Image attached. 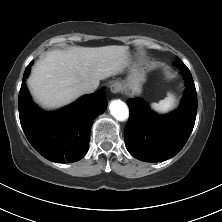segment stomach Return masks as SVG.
Returning a JSON list of instances; mask_svg holds the SVG:
<instances>
[{
    "instance_id": "obj_1",
    "label": "stomach",
    "mask_w": 222,
    "mask_h": 222,
    "mask_svg": "<svg viewBox=\"0 0 222 222\" xmlns=\"http://www.w3.org/2000/svg\"><path fill=\"white\" fill-rule=\"evenodd\" d=\"M145 81V73L133 67L125 82L122 83L123 88L131 90L133 93H140L141 84Z\"/></svg>"
}]
</instances>
